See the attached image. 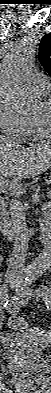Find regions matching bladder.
I'll return each instance as SVG.
<instances>
[{
  "mask_svg": "<svg viewBox=\"0 0 51 393\" xmlns=\"http://www.w3.org/2000/svg\"><path fill=\"white\" fill-rule=\"evenodd\" d=\"M41 359L38 362L23 361L18 365L21 371L23 383H36L43 377L49 374L51 365L45 354H41ZM32 385V384H30Z\"/></svg>",
  "mask_w": 51,
  "mask_h": 393,
  "instance_id": "obj_1",
  "label": "bladder"
}]
</instances>
